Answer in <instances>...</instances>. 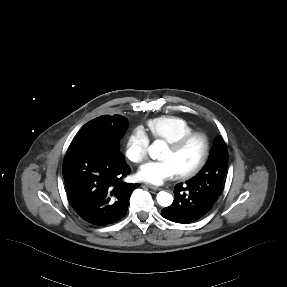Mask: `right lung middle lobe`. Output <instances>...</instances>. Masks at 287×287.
Instances as JSON below:
<instances>
[{"label":"right lung middle lobe","mask_w":287,"mask_h":287,"mask_svg":"<svg viewBox=\"0 0 287 287\" xmlns=\"http://www.w3.org/2000/svg\"><path fill=\"white\" fill-rule=\"evenodd\" d=\"M127 124L124 117L114 119L95 118L86 123L76 134L67 151L80 148H94L106 153L119 151L118 140L124 134Z\"/></svg>","instance_id":"right-lung-middle-lobe-1"}]
</instances>
